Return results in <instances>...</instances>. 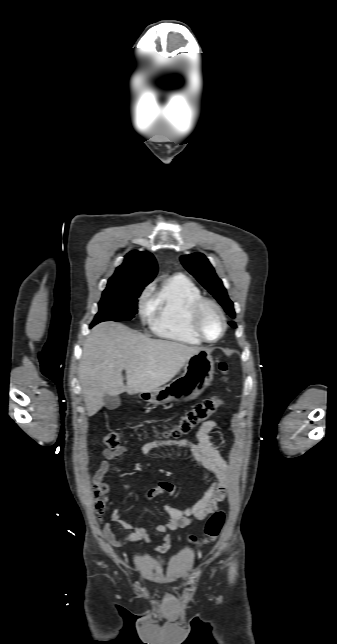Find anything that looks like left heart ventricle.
I'll use <instances>...</instances> for the list:
<instances>
[{
  "label": "left heart ventricle",
  "instance_id": "obj_1",
  "mask_svg": "<svg viewBox=\"0 0 337 644\" xmlns=\"http://www.w3.org/2000/svg\"><path fill=\"white\" fill-rule=\"evenodd\" d=\"M200 326L208 339H216L221 331V320L216 310L207 307L202 314Z\"/></svg>",
  "mask_w": 337,
  "mask_h": 644
}]
</instances>
